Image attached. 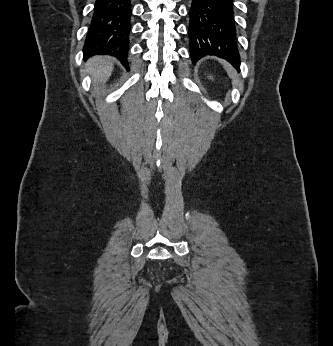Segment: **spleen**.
<instances>
[{
    "instance_id": "obj_1",
    "label": "spleen",
    "mask_w": 333,
    "mask_h": 346,
    "mask_svg": "<svg viewBox=\"0 0 333 346\" xmlns=\"http://www.w3.org/2000/svg\"><path fill=\"white\" fill-rule=\"evenodd\" d=\"M225 68H226V71H227L229 77L232 78V84H233L234 86H236L237 83H238V82H237V77H236V72H235V71L233 70V68H232L231 66H229V65H226Z\"/></svg>"
}]
</instances>
